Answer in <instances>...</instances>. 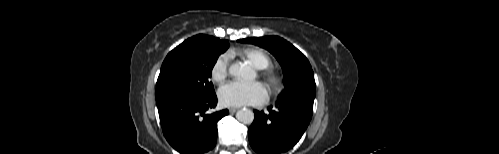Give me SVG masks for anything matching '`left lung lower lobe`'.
I'll return each mask as SVG.
<instances>
[{"label":"left lung lower lobe","instance_id":"obj_1","mask_svg":"<svg viewBox=\"0 0 499 154\" xmlns=\"http://www.w3.org/2000/svg\"><path fill=\"white\" fill-rule=\"evenodd\" d=\"M314 98L294 95L278 100L267 113L254 110L255 118L249 127L251 147L260 154H280L291 149L312 118Z\"/></svg>","mask_w":499,"mask_h":154}]
</instances>
